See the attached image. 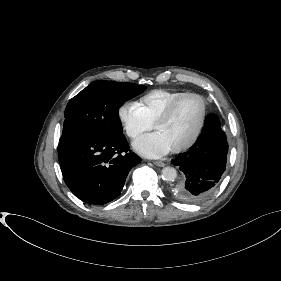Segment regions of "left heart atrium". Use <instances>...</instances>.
<instances>
[{"label":"left heart atrium","mask_w":281,"mask_h":281,"mask_svg":"<svg viewBox=\"0 0 281 281\" xmlns=\"http://www.w3.org/2000/svg\"><path fill=\"white\" fill-rule=\"evenodd\" d=\"M133 145L140 154L151 158L162 157L171 151L170 145L158 132L140 137Z\"/></svg>","instance_id":"1"}]
</instances>
